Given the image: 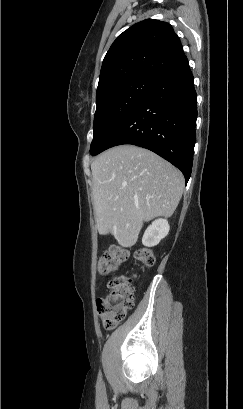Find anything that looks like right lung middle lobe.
Returning a JSON list of instances; mask_svg holds the SVG:
<instances>
[{
  "label": "right lung middle lobe",
  "mask_w": 243,
  "mask_h": 409,
  "mask_svg": "<svg viewBox=\"0 0 243 409\" xmlns=\"http://www.w3.org/2000/svg\"><path fill=\"white\" fill-rule=\"evenodd\" d=\"M158 82L148 77H136L111 86L96 99L94 137L91 155L100 153L114 131L135 110L148 92Z\"/></svg>",
  "instance_id": "dd1d6c3e"
}]
</instances>
